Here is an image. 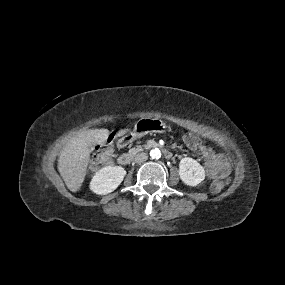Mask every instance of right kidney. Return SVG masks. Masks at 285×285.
<instances>
[{
	"label": "right kidney",
	"mask_w": 285,
	"mask_h": 285,
	"mask_svg": "<svg viewBox=\"0 0 285 285\" xmlns=\"http://www.w3.org/2000/svg\"><path fill=\"white\" fill-rule=\"evenodd\" d=\"M126 171L121 166H106L101 168L90 182V190L98 195L113 192L123 181Z\"/></svg>",
	"instance_id": "ca27d5eb"
}]
</instances>
